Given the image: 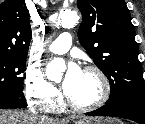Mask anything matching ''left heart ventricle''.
<instances>
[{
  "label": "left heart ventricle",
  "instance_id": "1",
  "mask_svg": "<svg viewBox=\"0 0 145 124\" xmlns=\"http://www.w3.org/2000/svg\"><path fill=\"white\" fill-rule=\"evenodd\" d=\"M100 94L101 85L98 77L93 73L82 71L67 96L77 105H87L95 102Z\"/></svg>",
  "mask_w": 145,
  "mask_h": 124
}]
</instances>
